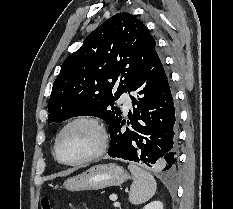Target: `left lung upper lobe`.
Segmentation results:
<instances>
[{
    "label": "left lung upper lobe",
    "instance_id": "1",
    "mask_svg": "<svg viewBox=\"0 0 233 209\" xmlns=\"http://www.w3.org/2000/svg\"><path fill=\"white\" fill-rule=\"evenodd\" d=\"M155 45L149 30L132 14L107 19L63 62L48 102V123L76 116H96L108 126L120 120L114 101L128 91Z\"/></svg>",
    "mask_w": 233,
    "mask_h": 209
}]
</instances>
